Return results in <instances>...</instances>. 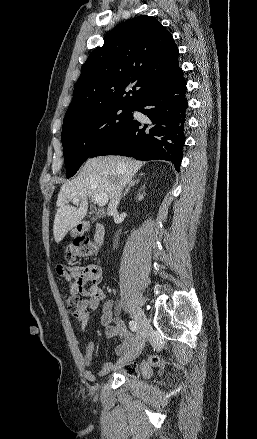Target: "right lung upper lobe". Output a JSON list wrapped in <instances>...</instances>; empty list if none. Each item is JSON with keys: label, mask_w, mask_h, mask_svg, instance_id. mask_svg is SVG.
Returning a JSON list of instances; mask_svg holds the SVG:
<instances>
[{"label": "right lung upper lobe", "mask_w": 257, "mask_h": 439, "mask_svg": "<svg viewBox=\"0 0 257 439\" xmlns=\"http://www.w3.org/2000/svg\"><path fill=\"white\" fill-rule=\"evenodd\" d=\"M178 54L157 19L141 15L118 24L84 63L64 120L112 105L136 107L178 69Z\"/></svg>", "instance_id": "right-lung-upper-lobe-1"}]
</instances>
